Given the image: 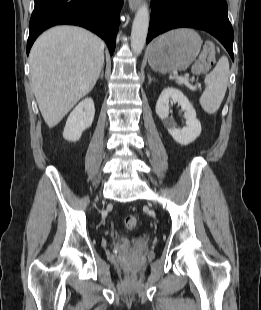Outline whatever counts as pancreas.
<instances>
[{
    "instance_id": "obj_1",
    "label": "pancreas",
    "mask_w": 261,
    "mask_h": 310,
    "mask_svg": "<svg viewBox=\"0 0 261 310\" xmlns=\"http://www.w3.org/2000/svg\"><path fill=\"white\" fill-rule=\"evenodd\" d=\"M176 82L179 84V85H183L185 84V82H188V78L185 76V77H178L176 79ZM186 85V84H185Z\"/></svg>"
}]
</instances>
